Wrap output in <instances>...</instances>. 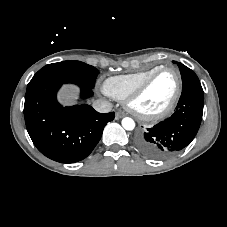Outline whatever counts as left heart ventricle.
Wrapping results in <instances>:
<instances>
[{"label":"left heart ventricle","mask_w":227,"mask_h":227,"mask_svg":"<svg viewBox=\"0 0 227 227\" xmlns=\"http://www.w3.org/2000/svg\"><path fill=\"white\" fill-rule=\"evenodd\" d=\"M177 76L173 71L161 73L135 102V107L145 113H154L165 108L175 94Z\"/></svg>","instance_id":"b2bd125f"}]
</instances>
